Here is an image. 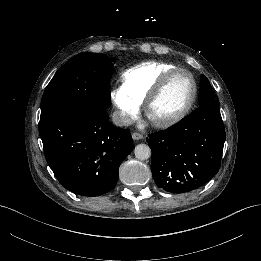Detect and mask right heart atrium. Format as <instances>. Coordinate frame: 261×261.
<instances>
[{"instance_id":"1","label":"right heart atrium","mask_w":261,"mask_h":261,"mask_svg":"<svg viewBox=\"0 0 261 261\" xmlns=\"http://www.w3.org/2000/svg\"><path fill=\"white\" fill-rule=\"evenodd\" d=\"M112 104L116 108L118 121L123 125L133 124L140 115V103H138L125 89L122 87L114 88L110 92Z\"/></svg>"}]
</instances>
